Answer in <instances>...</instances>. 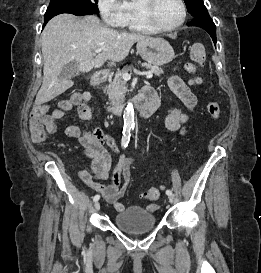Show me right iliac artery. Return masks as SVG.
<instances>
[{
  "label": "right iliac artery",
  "mask_w": 261,
  "mask_h": 273,
  "mask_svg": "<svg viewBox=\"0 0 261 273\" xmlns=\"http://www.w3.org/2000/svg\"><path fill=\"white\" fill-rule=\"evenodd\" d=\"M130 136H131L130 130L125 128L123 130V136H122V141H121V145L123 148H126L128 146V143L130 141ZM99 198H100V196L97 194L93 197V201L96 202L99 200Z\"/></svg>",
  "instance_id": "right-iliac-artery-1"
}]
</instances>
